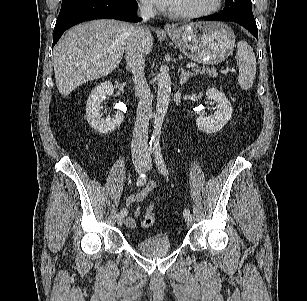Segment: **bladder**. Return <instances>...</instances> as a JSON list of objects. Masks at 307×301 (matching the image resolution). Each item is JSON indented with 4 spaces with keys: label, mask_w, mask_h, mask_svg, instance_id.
Here are the masks:
<instances>
[{
    "label": "bladder",
    "mask_w": 307,
    "mask_h": 301,
    "mask_svg": "<svg viewBox=\"0 0 307 301\" xmlns=\"http://www.w3.org/2000/svg\"><path fill=\"white\" fill-rule=\"evenodd\" d=\"M136 248L148 257H161L172 250L173 245L166 233H159L141 238L136 242Z\"/></svg>",
    "instance_id": "1"
}]
</instances>
